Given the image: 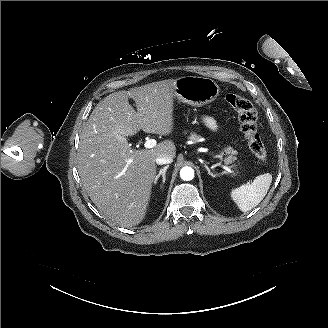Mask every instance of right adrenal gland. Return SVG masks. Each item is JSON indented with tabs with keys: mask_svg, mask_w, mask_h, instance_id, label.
Wrapping results in <instances>:
<instances>
[{
	"mask_svg": "<svg viewBox=\"0 0 328 328\" xmlns=\"http://www.w3.org/2000/svg\"><path fill=\"white\" fill-rule=\"evenodd\" d=\"M169 167V165H166L163 169H161L160 173L158 174V176L156 177V181H155V185L158 184V181L160 178H162V182H161V185H160V190L163 188V185L165 183V171L166 169Z\"/></svg>",
	"mask_w": 328,
	"mask_h": 328,
	"instance_id": "right-adrenal-gland-1",
	"label": "right adrenal gland"
}]
</instances>
